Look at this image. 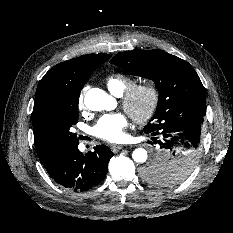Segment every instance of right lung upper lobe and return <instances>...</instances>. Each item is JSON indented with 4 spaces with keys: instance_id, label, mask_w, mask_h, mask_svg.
<instances>
[{
    "instance_id": "obj_1",
    "label": "right lung upper lobe",
    "mask_w": 233,
    "mask_h": 233,
    "mask_svg": "<svg viewBox=\"0 0 233 233\" xmlns=\"http://www.w3.org/2000/svg\"><path fill=\"white\" fill-rule=\"evenodd\" d=\"M110 57L108 54H89L54 66L38 85L32 114L51 102L79 97L88 77Z\"/></svg>"
}]
</instances>
